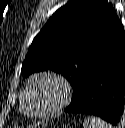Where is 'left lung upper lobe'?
Wrapping results in <instances>:
<instances>
[{"label":"left lung upper lobe","mask_w":125,"mask_h":128,"mask_svg":"<svg viewBox=\"0 0 125 128\" xmlns=\"http://www.w3.org/2000/svg\"><path fill=\"white\" fill-rule=\"evenodd\" d=\"M124 33L115 9L106 0H72L58 9L34 38L22 73L53 70L73 88L71 104L89 72Z\"/></svg>","instance_id":"5c2ea615"}]
</instances>
